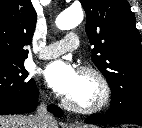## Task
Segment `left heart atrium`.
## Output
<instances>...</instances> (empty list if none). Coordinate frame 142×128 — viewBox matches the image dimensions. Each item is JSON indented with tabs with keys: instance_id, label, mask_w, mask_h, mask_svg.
Masks as SVG:
<instances>
[{
	"instance_id": "1",
	"label": "left heart atrium",
	"mask_w": 142,
	"mask_h": 128,
	"mask_svg": "<svg viewBox=\"0 0 142 128\" xmlns=\"http://www.w3.org/2000/svg\"><path fill=\"white\" fill-rule=\"evenodd\" d=\"M44 78L47 85L57 94L69 97L78 88L81 74L73 65L58 60L50 63L46 67Z\"/></svg>"
}]
</instances>
